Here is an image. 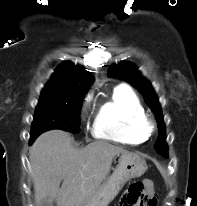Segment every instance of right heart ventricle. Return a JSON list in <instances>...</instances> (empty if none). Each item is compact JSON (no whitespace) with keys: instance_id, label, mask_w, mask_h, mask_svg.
I'll list each match as a JSON object with an SVG mask.
<instances>
[{"instance_id":"obj_1","label":"right heart ventricle","mask_w":197,"mask_h":206,"mask_svg":"<svg viewBox=\"0 0 197 206\" xmlns=\"http://www.w3.org/2000/svg\"><path fill=\"white\" fill-rule=\"evenodd\" d=\"M145 117L139 97L128 87L118 86L101 104L95 117L93 135L122 144H140L148 137L142 128Z\"/></svg>"}]
</instances>
